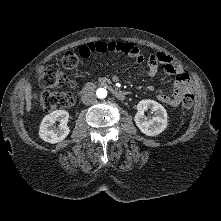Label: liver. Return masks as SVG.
Wrapping results in <instances>:
<instances>
[{"mask_svg": "<svg viewBox=\"0 0 221 221\" xmlns=\"http://www.w3.org/2000/svg\"><path fill=\"white\" fill-rule=\"evenodd\" d=\"M32 87L28 83L25 87V99H26V110L29 112L31 110V100H32Z\"/></svg>", "mask_w": 221, "mask_h": 221, "instance_id": "liver-1", "label": "liver"}]
</instances>
